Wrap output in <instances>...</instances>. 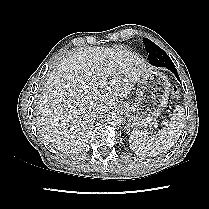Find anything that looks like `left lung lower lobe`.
Wrapping results in <instances>:
<instances>
[{
    "label": "left lung lower lobe",
    "instance_id": "obj_1",
    "mask_svg": "<svg viewBox=\"0 0 209 209\" xmlns=\"http://www.w3.org/2000/svg\"><path fill=\"white\" fill-rule=\"evenodd\" d=\"M170 71H172L175 74L176 78L180 81V78L178 76L176 68L175 69H171Z\"/></svg>",
    "mask_w": 209,
    "mask_h": 209
}]
</instances>
